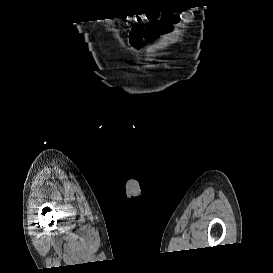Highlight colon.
<instances>
[{"label":"colon","instance_id":"5ec220e1","mask_svg":"<svg viewBox=\"0 0 273 273\" xmlns=\"http://www.w3.org/2000/svg\"><path fill=\"white\" fill-rule=\"evenodd\" d=\"M131 35L134 40L140 39L143 35H148V25L144 23L135 24L131 29Z\"/></svg>","mask_w":273,"mask_h":273}]
</instances>
